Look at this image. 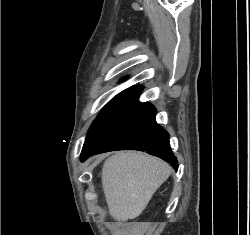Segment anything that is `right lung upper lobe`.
<instances>
[{
  "label": "right lung upper lobe",
  "mask_w": 250,
  "mask_h": 235,
  "mask_svg": "<svg viewBox=\"0 0 250 235\" xmlns=\"http://www.w3.org/2000/svg\"><path fill=\"white\" fill-rule=\"evenodd\" d=\"M141 91H142V87L141 86H132V87H130V88L122 91L121 93H119L115 97L131 99L134 96H136L137 94H139Z\"/></svg>",
  "instance_id": "right-lung-upper-lobe-1"
}]
</instances>
